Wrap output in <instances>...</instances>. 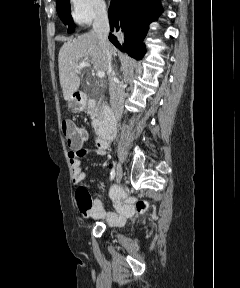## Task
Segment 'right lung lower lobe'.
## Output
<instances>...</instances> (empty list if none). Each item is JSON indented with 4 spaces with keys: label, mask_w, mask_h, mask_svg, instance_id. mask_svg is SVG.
<instances>
[{
    "label": "right lung lower lobe",
    "mask_w": 240,
    "mask_h": 288,
    "mask_svg": "<svg viewBox=\"0 0 240 288\" xmlns=\"http://www.w3.org/2000/svg\"><path fill=\"white\" fill-rule=\"evenodd\" d=\"M163 9L160 0H111L109 8L110 28L114 26L125 33V43L119 44L110 34L109 40L121 51L140 59L145 53L143 39L149 29V24L156 20Z\"/></svg>",
    "instance_id": "98d812e1"
}]
</instances>
